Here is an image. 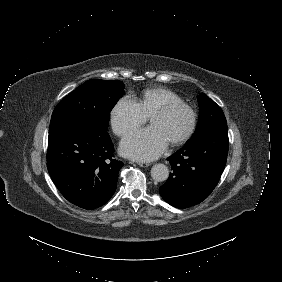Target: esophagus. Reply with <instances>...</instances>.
<instances>
[{
  "instance_id": "1",
  "label": "esophagus",
  "mask_w": 282,
  "mask_h": 282,
  "mask_svg": "<svg viewBox=\"0 0 282 282\" xmlns=\"http://www.w3.org/2000/svg\"><path fill=\"white\" fill-rule=\"evenodd\" d=\"M140 167H148L150 164L149 163H146V162H138L137 163Z\"/></svg>"
}]
</instances>
